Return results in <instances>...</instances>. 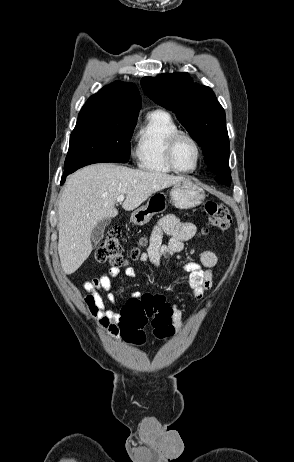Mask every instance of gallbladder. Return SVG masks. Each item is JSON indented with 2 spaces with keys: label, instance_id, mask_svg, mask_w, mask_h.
I'll return each instance as SVG.
<instances>
[{
  "label": "gallbladder",
  "instance_id": "bac80fb5",
  "mask_svg": "<svg viewBox=\"0 0 294 462\" xmlns=\"http://www.w3.org/2000/svg\"><path fill=\"white\" fill-rule=\"evenodd\" d=\"M109 223H110L109 219H104L97 223V225L95 226V228L93 229L91 233V240L94 245H97L102 240L104 236L105 228Z\"/></svg>",
  "mask_w": 294,
  "mask_h": 462
}]
</instances>
